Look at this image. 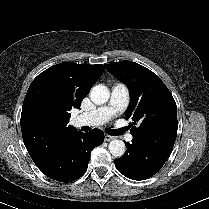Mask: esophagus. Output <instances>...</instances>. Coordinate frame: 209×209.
Masks as SVG:
<instances>
[{
  "label": "esophagus",
  "instance_id": "1",
  "mask_svg": "<svg viewBox=\"0 0 209 209\" xmlns=\"http://www.w3.org/2000/svg\"><path fill=\"white\" fill-rule=\"evenodd\" d=\"M113 139H114L113 136H110V135H108V134H105V135H104V140L107 141V142H108V141H111V140H113Z\"/></svg>",
  "mask_w": 209,
  "mask_h": 209
}]
</instances>
